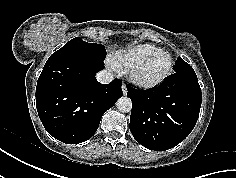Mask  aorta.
I'll use <instances>...</instances> for the list:
<instances>
[{
  "instance_id": "1",
  "label": "aorta",
  "mask_w": 236,
  "mask_h": 178,
  "mask_svg": "<svg viewBox=\"0 0 236 178\" xmlns=\"http://www.w3.org/2000/svg\"><path fill=\"white\" fill-rule=\"evenodd\" d=\"M116 106L120 112H130L132 109V102L128 97H121L117 100Z\"/></svg>"
}]
</instances>
